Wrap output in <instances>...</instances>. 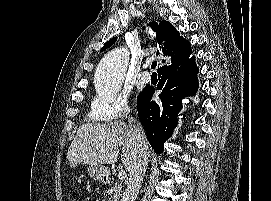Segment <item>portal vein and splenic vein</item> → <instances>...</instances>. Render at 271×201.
I'll return each instance as SVG.
<instances>
[{
	"instance_id": "18ae733b",
	"label": "portal vein and splenic vein",
	"mask_w": 271,
	"mask_h": 201,
	"mask_svg": "<svg viewBox=\"0 0 271 201\" xmlns=\"http://www.w3.org/2000/svg\"><path fill=\"white\" fill-rule=\"evenodd\" d=\"M118 178H119L120 180H124V179L126 178V172H125L124 170H120V171L118 172Z\"/></svg>"
}]
</instances>
